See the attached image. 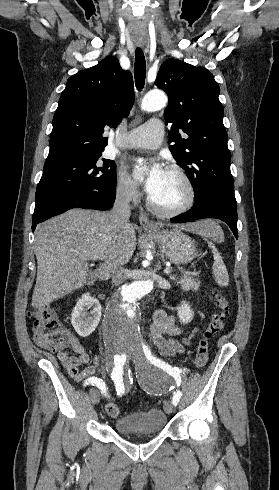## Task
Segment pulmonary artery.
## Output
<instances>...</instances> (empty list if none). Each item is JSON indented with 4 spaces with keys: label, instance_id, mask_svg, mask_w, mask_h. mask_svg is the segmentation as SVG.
Segmentation results:
<instances>
[{
    "label": "pulmonary artery",
    "instance_id": "1",
    "mask_svg": "<svg viewBox=\"0 0 279 490\" xmlns=\"http://www.w3.org/2000/svg\"><path fill=\"white\" fill-rule=\"evenodd\" d=\"M144 125L138 128H129L126 134L129 137H115V146L126 148H157L161 144V137L167 129L166 122H158L156 117H147Z\"/></svg>",
    "mask_w": 279,
    "mask_h": 490
}]
</instances>
